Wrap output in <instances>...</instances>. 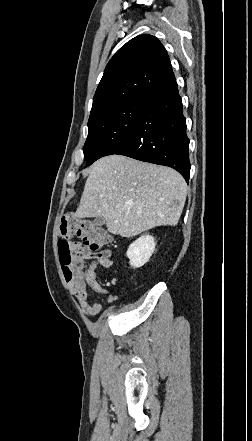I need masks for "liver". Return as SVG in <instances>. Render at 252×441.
I'll return each instance as SVG.
<instances>
[{"instance_id": "obj_1", "label": "liver", "mask_w": 252, "mask_h": 441, "mask_svg": "<svg viewBox=\"0 0 252 441\" xmlns=\"http://www.w3.org/2000/svg\"><path fill=\"white\" fill-rule=\"evenodd\" d=\"M186 195L187 184L174 169L110 155L90 167L75 216L103 217L110 233L129 238L175 226Z\"/></svg>"}]
</instances>
